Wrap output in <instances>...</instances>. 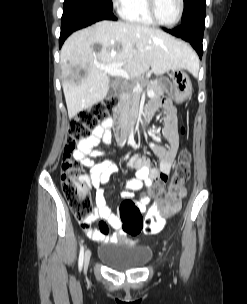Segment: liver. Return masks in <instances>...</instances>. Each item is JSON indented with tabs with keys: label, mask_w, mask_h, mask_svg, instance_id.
I'll use <instances>...</instances> for the list:
<instances>
[{
	"label": "liver",
	"mask_w": 247,
	"mask_h": 304,
	"mask_svg": "<svg viewBox=\"0 0 247 304\" xmlns=\"http://www.w3.org/2000/svg\"><path fill=\"white\" fill-rule=\"evenodd\" d=\"M95 44L101 46L100 51H94ZM118 62L124 63L123 69L131 77L150 67L157 76L176 69L194 72L199 67L192 49L169 34L137 23L100 21L73 33L61 49L62 88L69 118L106 97L110 77L100 66ZM77 68L85 72L79 84L74 82Z\"/></svg>",
	"instance_id": "obj_1"
}]
</instances>
